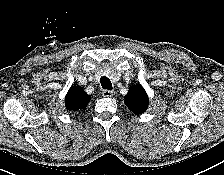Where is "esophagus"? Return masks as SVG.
Masks as SVG:
<instances>
[{
    "instance_id": "esophagus-1",
    "label": "esophagus",
    "mask_w": 224,
    "mask_h": 175,
    "mask_svg": "<svg viewBox=\"0 0 224 175\" xmlns=\"http://www.w3.org/2000/svg\"><path fill=\"white\" fill-rule=\"evenodd\" d=\"M102 96L103 97H113L114 96V92L110 91V90H103L102 91Z\"/></svg>"
}]
</instances>
